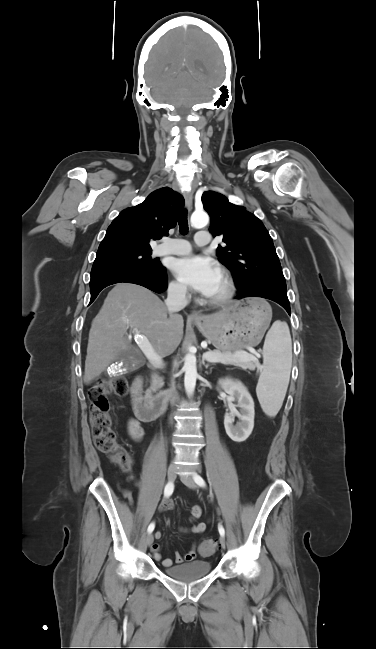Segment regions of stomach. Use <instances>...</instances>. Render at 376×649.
I'll return each instance as SVG.
<instances>
[{
    "label": "stomach",
    "mask_w": 376,
    "mask_h": 649,
    "mask_svg": "<svg viewBox=\"0 0 376 649\" xmlns=\"http://www.w3.org/2000/svg\"><path fill=\"white\" fill-rule=\"evenodd\" d=\"M271 307L261 299L235 301L227 309L194 319L203 336L219 351L256 346L271 320Z\"/></svg>",
    "instance_id": "1"
}]
</instances>
